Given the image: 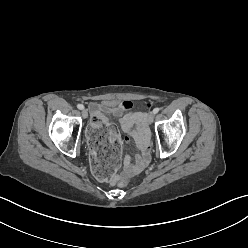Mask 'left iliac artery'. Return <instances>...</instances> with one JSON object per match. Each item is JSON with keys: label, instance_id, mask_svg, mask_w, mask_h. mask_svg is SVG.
<instances>
[{"label": "left iliac artery", "instance_id": "44dca946", "mask_svg": "<svg viewBox=\"0 0 248 248\" xmlns=\"http://www.w3.org/2000/svg\"><path fill=\"white\" fill-rule=\"evenodd\" d=\"M159 110H160V109H159L158 107H156V108L153 109V113L156 114V113L159 112Z\"/></svg>", "mask_w": 248, "mask_h": 248}]
</instances>
